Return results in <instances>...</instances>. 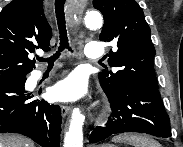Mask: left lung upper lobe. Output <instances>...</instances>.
<instances>
[{
  "instance_id": "1",
  "label": "left lung upper lobe",
  "mask_w": 183,
  "mask_h": 147,
  "mask_svg": "<svg viewBox=\"0 0 183 147\" xmlns=\"http://www.w3.org/2000/svg\"><path fill=\"white\" fill-rule=\"evenodd\" d=\"M93 6L104 16L99 36L112 42L108 62L116 71L98 73L103 90L115 94L126 85H142L158 89L154 71L155 48L144 13L135 0H93Z\"/></svg>"
}]
</instances>
